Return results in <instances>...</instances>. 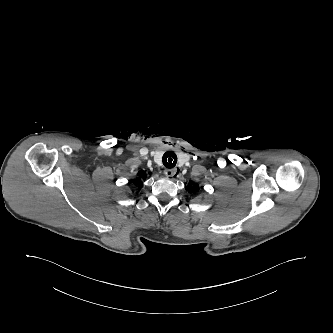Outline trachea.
Instances as JSON below:
<instances>
[{
  "label": "trachea",
  "instance_id": "trachea-1",
  "mask_svg": "<svg viewBox=\"0 0 333 333\" xmlns=\"http://www.w3.org/2000/svg\"><path fill=\"white\" fill-rule=\"evenodd\" d=\"M162 161L165 167L173 168L177 163V155L172 151H167L164 153Z\"/></svg>",
  "mask_w": 333,
  "mask_h": 333
}]
</instances>
